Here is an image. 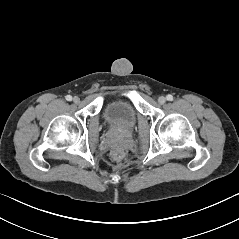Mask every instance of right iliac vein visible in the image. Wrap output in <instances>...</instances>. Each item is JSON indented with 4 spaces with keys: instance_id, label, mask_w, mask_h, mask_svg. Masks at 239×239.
<instances>
[{
    "instance_id": "1",
    "label": "right iliac vein",
    "mask_w": 239,
    "mask_h": 239,
    "mask_svg": "<svg viewBox=\"0 0 239 239\" xmlns=\"http://www.w3.org/2000/svg\"><path fill=\"white\" fill-rule=\"evenodd\" d=\"M79 101H80V98H79V97L75 96V97L73 98V102H74V103H79Z\"/></svg>"
}]
</instances>
